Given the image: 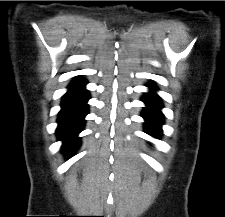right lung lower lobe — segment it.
<instances>
[{"label":"right lung lower lobe","instance_id":"right-lung-lower-lobe-1","mask_svg":"<svg viewBox=\"0 0 225 217\" xmlns=\"http://www.w3.org/2000/svg\"><path fill=\"white\" fill-rule=\"evenodd\" d=\"M86 84L83 78H75L62 99L56 133L58 140L64 142L62 149L66 153L73 152L80 144L77 135L84 128V117L88 113L87 101L90 98L85 89Z\"/></svg>","mask_w":225,"mask_h":217}]
</instances>
